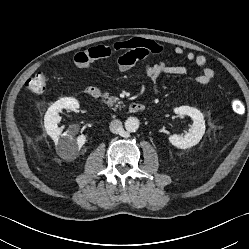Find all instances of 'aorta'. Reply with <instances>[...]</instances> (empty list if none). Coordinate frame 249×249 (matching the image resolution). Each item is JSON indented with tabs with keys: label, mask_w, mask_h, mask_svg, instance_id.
<instances>
[{
	"label": "aorta",
	"mask_w": 249,
	"mask_h": 249,
	"mask_svg": "<svg viewBox=\"0 0 249 249\" xmlns=\"http://www.w3.org/2000/svg\"><path fill=\"white\" fill-rule=\"evenodd\" d=\"M139 128V120L135 117H129L125 121V129L128 132H136Z\"/></svg>",
	"instance_id": "1"
}]
</instances>
